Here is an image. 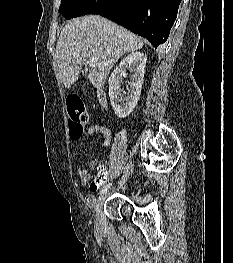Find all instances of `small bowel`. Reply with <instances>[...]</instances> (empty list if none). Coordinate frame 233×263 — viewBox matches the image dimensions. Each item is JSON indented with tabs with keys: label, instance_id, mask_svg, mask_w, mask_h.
I'll return each mask as SVG.
<instances>
[{
	"label": "small bowel",
	"instance_id": "1",
	"mask_svg": "<svg viewBox=\"0 0 233 263\" xmlns=\"http://www.w3.org/2000/svg\"><path fill=\"white\" fill-rule=\"evenodd\" d=\"M88 133L89 134L100 133L103 136L104 147H108L112 143V134L110 130L104 125L93 124L89 127ZM89 168L98 169V171H106V167H104V164L97 159L90 162ZM78 173L81 179V183L83 185H86L91 178L90 171L87 168H79ZM99 184H103V183H99ZM91 190L96 191V189H91ZM84 202L88 206H93L96 202L95 196L93 194H87L84 197Z\"/></svg>",
	"mask_w": 233,
	"mask_h": 263
}]
</instances>
